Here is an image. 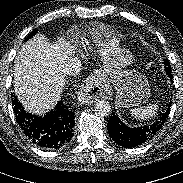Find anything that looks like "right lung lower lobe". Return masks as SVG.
I'll return each mask as SVG.
<instances>
[{"instance_id":"98d812e1","label":"right lung lower lobe","mask_w":183,"mask_h":183,"mask_svg":"<svg viewBox=\"0 0 183 183\" xmlns=\"http://www.w3.org/2000/svg\"><path fill=\"white\" fill-rule=\"evenodd\" d=\"M12 106L22 132L37 146L54 150L66 147L71 141L75 113L63 101L44 117L27 113L15 95Z\"/></svg>"}]
</instances>
